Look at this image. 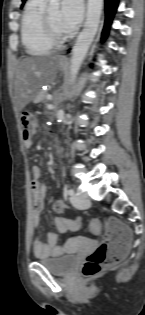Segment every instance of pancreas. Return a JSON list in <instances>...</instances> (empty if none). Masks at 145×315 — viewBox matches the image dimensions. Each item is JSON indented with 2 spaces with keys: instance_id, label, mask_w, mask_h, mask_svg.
<instances>
[{
  "instance_id": "cf45deb5",
  "label": "pancreas",
  "mask_w": 145,
  "mask_h": 315,
  "mask_svg": "<svg viewBox=\"0 0 145 315\" xmlns=\"http://www.w3.org/2000/svg\"><path fill=\"white\" fill-rule=\"evenodd\" d=\"M47 92L46 91H41L40 96H39V100L41 101H47Z\"/></svg>"
}]
</instances>
